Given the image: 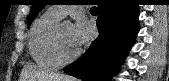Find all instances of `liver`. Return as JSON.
Masks as SVG:
<instances>
[{
    "label": "liver",
    "instance_id": "liver-1",
    "mask_svg": "<svg viewBox=\"0 0 169 81\" xmlns=\"http://www.w3.org/2000/svg\"><path fill=\"white\" fill-rule=\"evenodd\" d=\"M24 76L25 81H74V79L68 75L40 71L36 67L29 65L24 68Z\"/></svg>",
    "mask_w": 169,
    "mask_h": 81
}]
</instances>
